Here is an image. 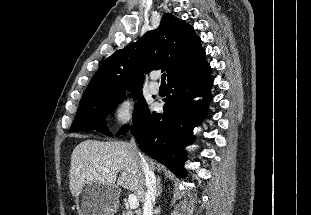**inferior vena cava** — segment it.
Here are the masks:
<instances>
[{"label": "inferior vena cava", "mask_w": 311, "mask_h": 215, "mask_svg": "<svg viewBox=\"0 0 311 215\" xmlns=\"http://www.w3.org/2000/svg\"><path fill=\"white\" fill-rule=\"evenodd\" d=\"M130 144L133 153L139 159V163L145 177V186L147 190L145 192L143 200V215H152L153 205L155 204V196H156V178L151 167L147 163V160L138 151L136 143L133 138L131 139Z\"/></svg>", "instance_id": "602c4592"}]
</instances>
